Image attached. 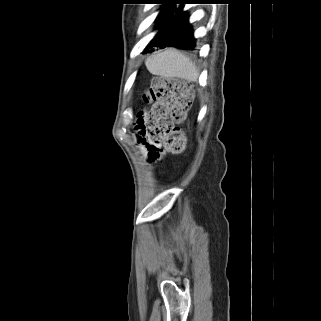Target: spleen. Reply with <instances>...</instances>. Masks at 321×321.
<instances>
[{"label": "spleen", "instance_id": "obj_1", "mask_svg": "<svg viewBox=\"0 0 321 321\" xmlns=\"http://www.w3.org/2000/svg\"><path fill=\"white\" fill-rule=\"evenodd\" d=\"M148 71L163 78L177 77L188 81H197L199 77L195 64L175 49H165L153 53L145 61Z\"/></svg>", "mask_w": 321, "mask_h": 321}]
</instances>
